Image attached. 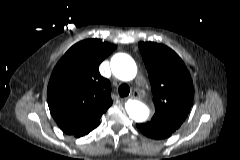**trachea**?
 Listing matches in <instances>:
<instances>
[{
    "label": "trachea",
    "mask_w": 240,
    "mask_h": 160,
    "mask_svg": "<svg viewBox=\"0 0 240 160\" xmlns=\"http://www.w3.org/2000/svg\"><path fill=\"white\" fill-rule=\"evenodd\" d=\"M121 97H126L130 93V87L127 84H121L118 88Z\"/></svg>",
    "instance_id": "trachea-1"
}]
</instances>
